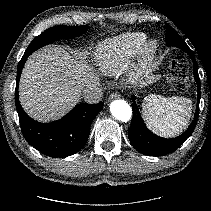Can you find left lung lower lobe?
Returning a JSON list of instances; mask_svg holds the SVG:
<instances>
[{"label": "left lung lower lobe", "mask_w": 211, "mask_h": 211, "mask_svg": "<svg viewBox=\"0 0 211 211\" xmlns=\"http://www.w3.org/2000/svg\"><path fill=\"white\" fill-rule=\"evenodd\" d=\"M169 46H177L178 48L184 50L188 53L193 61L194 68V77L197 82V93H198V104L196 107V112L194 116V120L189 126L188 130H186L182 135L172 138L165 139L153 134L151 131L147 129L145 123L140 115L137 104L134 102L132 104L133 107V118L131 122V126L129 129V140L131 145L140 153L149 156H163L175 151L179 148L183 142L189 138V136L194 131L199 115V101H200V79L198 75V67L193 54V51L187 46L183 39H174L173 41L167 42ZM132 100L135 101V96L132 97Z\"/></svg>", "instance_id": "left-lung-lower-lobe-1"}]
</instances>
